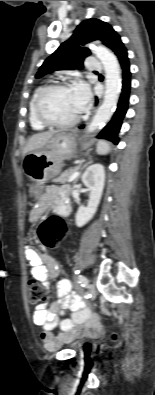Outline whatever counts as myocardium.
<instances>
[{"label":"myocardium","instance_id":"myocardium-1","mask_svg":"<svg viewBox=\"0 0 155 395\" xmlns=\"http://www.w3.org/2000/svg\"><path fill=\"white\" fill-rule=\"evenodd\" d=\"M71 88V84L67 82H57L53 84H49L47 86H44L36 95L35 100H34V114L36 119L44 126L46 127H56V128H69L74 125H76L80 117L77 116L74 119L67 121V122H59V121H54L49 119L42 110V103L45 99V97L55 91V90H61V89H67Z\"/></svg>","mask_w":155,"mask_h":395}]
</instances>
